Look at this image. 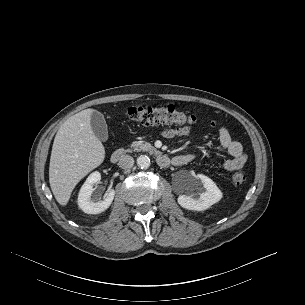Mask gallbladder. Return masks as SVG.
<instances>
[{
  "label": "gallbladder",
  "instance_id": "gallbladder-1",
  "mask_svg": "<svg viewBox=\"0 0 305 305\" xmlns=\"http://www.w3.org/2000/svg\"><path fill=\"white\" fill-rule=\"evenodd\" d=\"M91 127L95 136L101 141L108 140V128L103 114L98 111L91 115Z\"/></svg>",
  "mask_w": 305,
  "mask_h": 305
}]
</instances>
